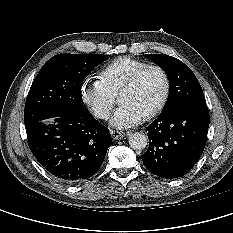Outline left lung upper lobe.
Masks as SVG:
<instances>
[{
    "instance_id": "1",
    "label": "left lung upper lobe",
    "mask_w": 233,
    "mask_h": 233,
    "mask_svg": "<svg viewBox=\"0 0 233 233\" xmlns=\"http://www.w3.org/2000/svg\"><path fill=\"white\" fill-rule=\"evenodd\" d=\"M168 75L169 96L162 112L180 105L204 104L203 90L191 69L180 60L165 54H146Z\"/></svg>"
}]
</instances>
